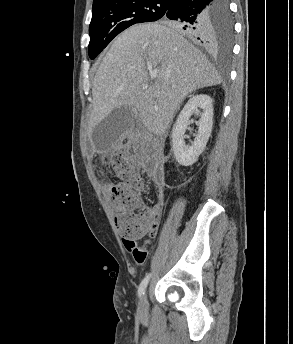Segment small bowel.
<instances>
[{
	"instance_id": "c3829d8e",
	"label": "small bowel",
	"mask_w": 293,
	"mask_h": 344,
	"mask_svg": "<svg viewBox=\"0 0 293 344\" xmlns=\"http://www.w3.org/2000/svg\"><path fill=\"white\" fill-rule=\"evenodd\" d=\"M161 203L156 205V209L158 210ZM151 240L145 239L143 242L140 243V238L137 239H123V245L125 249L131 254L134 261L138 264H143L147 257H148V246L150 245Z\"/></svg>"
}]
</instances>
